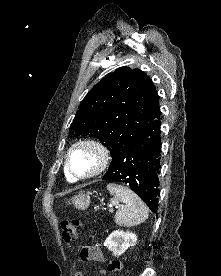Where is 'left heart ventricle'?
<instances>
[{
  "instance_id": "left-heart-ventricle-1",
  "label": "left heart ventricle",
  "mask_w": 221,
  "mask_h": 276,
  "mask_svg": "<svg viewBox=\"0 0 221 276\" xmlns=\"http://www.w3.org/2000/svg\"><path fill=\"white\" fill-rule=\"evenodd\" d=\"M70 164L75 174L84 175L91 172L95 168L97 164V157L92 150L87 148H79L72 153Z\"/></svg>"
}]
</instances>
